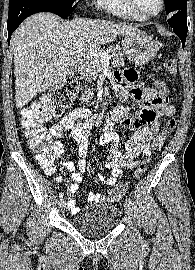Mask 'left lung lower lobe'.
<instances>
[{
	"label": "left lung lower lobe",
	"mask_w": 195,
	"mask_h": 270,
	"mask_svg": "<svg viewBox=\"0 0 195 270\" xmlns=\"http://www.w3.org/2000/svg\"><path fill=\"white\" fill-rule=\"evenodd\" d=\"M169 25L173 28L174 33L181 39L184 48L187 36V13L186 11H176L169 15Z\"/></svg>",
	"instance_id": "1"
}]
</instances>
